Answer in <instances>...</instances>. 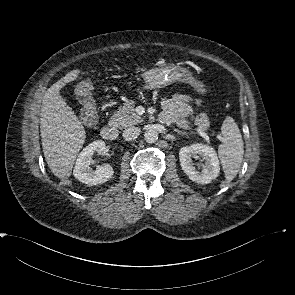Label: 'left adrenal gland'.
<instances>
[{"instance_id":"a2214340","label":"left adrenal gland","mask_w":295,"mask_h":295,"mask_svg":"<svg viewBox=\"0 0 295 295\" xmlns=\"http://www.w3.org/2000/svg\"><path fill=\"white\" fill-rule=\"evenodd\" d=\"M174 132H176L178 134H182V135H187L188 134L187 132H183V131H180L178 129H174Z\"/></svg>"}]
</instances>
